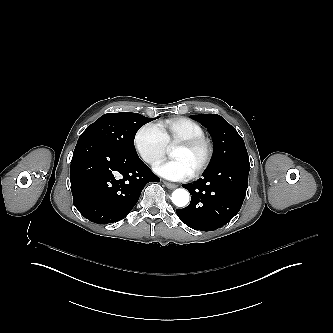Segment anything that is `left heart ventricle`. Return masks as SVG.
<instances>
[{"mask_svg": "<svg viewBox=\"0 0 333 333\" xmlns=\"http://www.w3.org/2000/svg\"><path fill=\"white\" fill-rule=\"evenodd\" d=\"M201 152L198 150H191L182 145L172 154V158L180 160L189 165L194 171L201 159Z\"/></svg>", "mask_w": 333, "mask_h": 333, "instance_id": "b2bd125f", "label": "left heart ventricle"}]
</instances>
